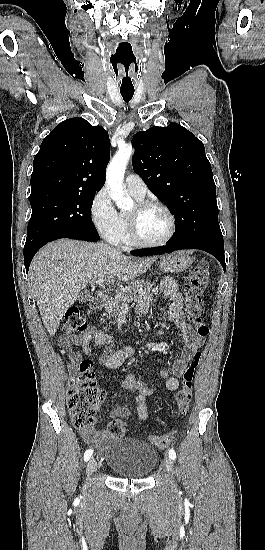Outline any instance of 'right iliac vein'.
I'll return each instance as SVG.
<instances>
[{
    "instance_id": "1",
    "label": "right iliac vein",
    "mask_w": 265,
    "mask_h": 550,
    "mask_svg": "<svg viewBox=\"0 0 265 550\" xmlns=\"http://www.w3.org/2000/svg\"><path fill=\"white\" fill-rule=\"evenodd\" d=\"M97 468V462L94 458H91L87 464V473L90 476Z\"/></svg>"
}]
</instances>
